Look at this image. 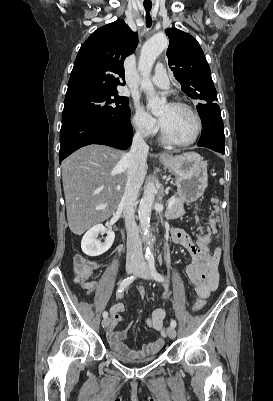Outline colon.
<instances>
[{"label": "colon", "instance_id": "obj_1", "mask_svg": "<svg viewBox=\"0 0 273 401\" xmlns=\"http://www.w3.org/2000/svg\"><path fill=\"white\" fill-rule=\"evenodd\" d=\"M72 265L74 266L73 274L76 276L78 282H85L87 276H93L96 268L95 261H89L88 257H73ZM190 282H204L206 275L204 273H190L188 275ZM147 285L143 283H137L136 289L139 293V300H146V289Z\"/></svg>", "mask_w": 273, "mask_h": 401}]
</instances>
